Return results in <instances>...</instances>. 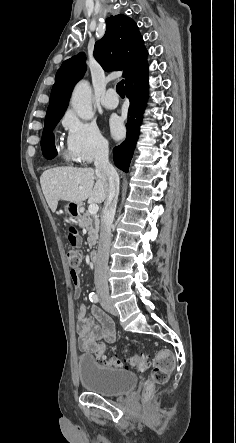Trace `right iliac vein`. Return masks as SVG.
Returning a JSON list of instances; mask_svg holds the SVG:
<instances>
[{
  "mask_svg": "<svg viewBox=\"0 0 236 443\" xmlns=\"http://www.w3.org/2000/svg\"><path fill=\"white\" fill-rule=\"evenodd\" d=\"M102 307H103L105 310H107V311H109L110 313H112L113 315H118V310H117V308H116L113 304H111V303H105V304H102Z\"/></svg>",
  "mask_w": 236,
  "mask_h": 443,
  "instance_id": "1",
  "label": "right iliac vein"
}]
</instances>
